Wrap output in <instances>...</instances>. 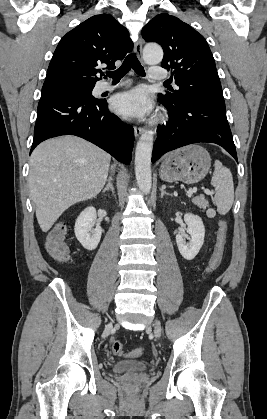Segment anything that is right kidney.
I'll use <instances>...</instances> for the list:
<instances>
[{
    "instance_id": "1",
    "label": "right kidney",
    "mask_w": 267,
    "mask_h": 419,
    "mask_svg": "<svg viewBox=\"0 0 267 419\" xmlns=\"http://www.w3.org/2000/svg\"><path fill=\"white\" fill-rule=\"evenodd\" d=\"M96 218V210L90 206L81 212L75 222L74 231L77 240L90 251L98 246L102 235V228L96 224Z\"/></svg>"
}]
</instances>
